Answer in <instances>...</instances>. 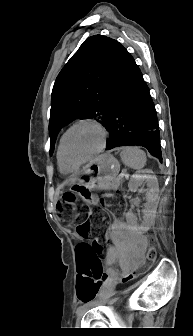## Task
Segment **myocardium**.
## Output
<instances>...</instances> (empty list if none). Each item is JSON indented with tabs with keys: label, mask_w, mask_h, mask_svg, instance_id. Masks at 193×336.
<instances>
[{
	"label": "myocardium",
	"mask_w": 193,
	"mask_h": 336,
	"mask_svg": "<svg viewBox=\"0 0 193 336\" xmlns=\"http://www.w3.org/2000/svg\"><path fill=\"white\" fill-rule=\"evenodd\" d=\"M80 125H91L93 127H95L96 129H98L102 135V142L100 147L91 155L80 159V160H74L72 158H70L66 152V139L67 136L69 135V133L75 129L76 127L80 126ZM107 139H108V134L106 129L97 121L93 120V119H81L76 121L75 123H73L62 135L61 141H60V151H61V155L63 157V159L65 160V162H67L70 165H81L91 159H93L94 157L98 156L100 153L103 152V150L106 147L107 144Z\"/></svg>",
	"instance_id": "obj_1"
}]
</instances>
